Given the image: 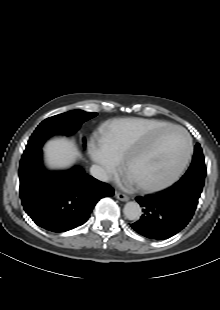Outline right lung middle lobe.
I'll return each mask as SVG.
<instances>
[{"label":"right lung middle lobe","mask_w":220,"mask_h":310,"mask_svg":"<svg viewBox=\"0 0 220 310\" xmlns=\"http://www.w3.org/2000/svg\"><path fill=\"white\" fill-rule=\"evenodd\" d=\"M96 115L97 113L73 110L47 118L38 125L31 135L26 150L41 148L46 139L54 134L70 135L75 130L79 129L83 122L95 117Z\"/></svg>","instance_id":"1"}]
</instances>
